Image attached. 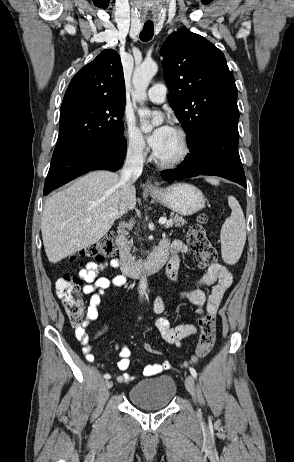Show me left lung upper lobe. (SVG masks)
Wrapping results in <instances>:
<instances>
[{"instance_id":"5c2ea615","label":"left lung upper lobe","mask_w":294,"mask_h":462,"mask_svg":"<svg viewBox=\"0 0 294 462\" xmlns=\"http://www.w3.org/2000/svg\"><path fill=\"white\" fill-rule=\"evenodd\" d=\"M160 54L168 101L192 145L221 116L237 110V88L224 54L202 36L178 30Z\"/></svg>"}]
</instances>
